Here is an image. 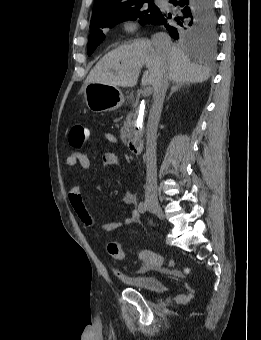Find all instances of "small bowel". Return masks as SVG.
<instances>
[{"mask_svg":"<svg viewBox=\"0 0 261 340\" xmlns=\"http://www.w3.org/2000/svg\"><path fill=\"white\" fill-rule=\"evenodd\" d=\"M87 139L91 137V131L86 128ZM102 140L115 144L117 143V138L110 132H103L101 137ZM102 162L105 165H115L119 162V156L113 152H105L102 155ZM66 163L68 166H76L79 165L84 170H89L91 166L90 159L87 155L83 154L78 150L72 151L66 159ZM68 199L70 205L72 206L73 210L75 211L76 215L78 216L79 220L82 222L84 226L89 228L93 233L99 232H112L115 231L123 226L132 225L134 223L139 222V210L133 209L131 214L124 218L123 220L108 222V223H97L94 218L92 217L91 213L89 212L84 198L82 194V189L79 185H74L69 193ZM122 201L130 206H136L137 199L135 195L131 192H127L124 196ZM149 267H143L142 270H147Z\"/></svg>","mask_w":261,"mask_h":340,"instance_id":"obj_1","label":"small bowel"}]
</instances>
